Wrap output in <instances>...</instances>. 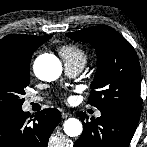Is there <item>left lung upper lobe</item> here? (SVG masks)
<instances>
[{
  "label": "left lung upper lobe",
  "mask_w": 147,
  "mask_h": 147,
  "mask_svg": "<svg viewBox=\"0 0 147 147\" xmlns=\"http://www.w3.org/2000/svg\"><path fill=\"white\" fill-rule=\"evenodd\" d=\"M67 37L93 45L97 72L88 103L99 110L118 112L138 122L141 113V71L132 45L109 26L89 27Z\"/></svg>",
  "instance_id": "5c2ea615"
}]
</instances>
